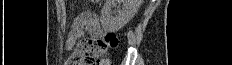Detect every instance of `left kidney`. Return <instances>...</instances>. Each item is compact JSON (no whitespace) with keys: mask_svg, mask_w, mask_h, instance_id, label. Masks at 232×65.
<instances>
[{"mask_svg":"<svg viewBox=\"0 0 232 65\" xmlns=\"http://www.w3.org/2000/svg\"><path fill=\"white\" fill-rule=\"evenodd\" d=\"M117 0H106L101 11V24L106 31L120 30L137 12L141 0H118L123 2L120 13L113 16L112 8Z\"/></svg>","mask_w":232,"mask_h":65,"instance_id":"5707ae66","label":"left kidney"}]
</instances>
